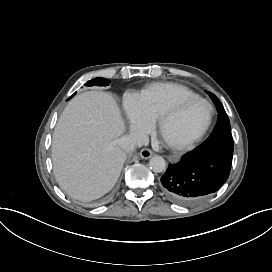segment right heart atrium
Masks as SVG:
<instances>
[{
  "instance_id": "right-heart-atrium-1",
  "label": "right heart atrium",
  "mask_w": 272,
  "mask_h": 272,
  "mask_svg": "<svg viewBox=\"0 0 272 272\" xmlns=\"http://www.w3.org/2000/svg\"><path fill=\"white\" fill-rule=\"evenodd\" d=\"M152 119L143 114L137 107L136 98L130 104V126L133 129H147L151 126Z\"/></svg>"
}]
</instances>
